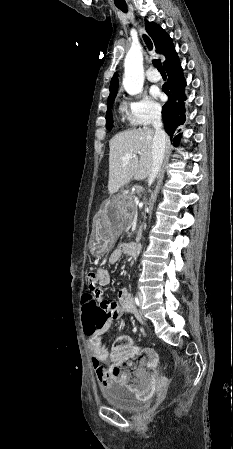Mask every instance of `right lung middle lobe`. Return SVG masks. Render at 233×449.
<instances>
[{
    "instance_id": "right-lung-middle-lobe-1",
    "label": "right lung middle lobe",
    "mask_w": 233,
    "mask_h": 449,
    "mask_svg": "<svg viewBox=\"0 0 233 449\" xmlns=\"http://www.w3.org/2000/svg\"><path fill=\"white\" fill-rule=\"evenodd\" d=\"M115 97H116V94L110 95L108 97V102H107L108 107H107V112H106V128L107 129L112 128V125H113V118H112V113H111L110 108L114 102Z\"/></svg>"
}]
</instances>
